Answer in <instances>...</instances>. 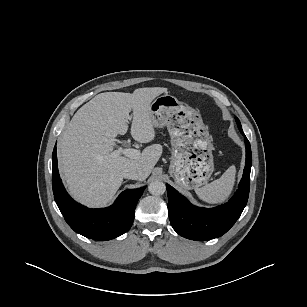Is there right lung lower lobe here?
I'll return each mask as SVG.
<instances>
[{"label":"right lung lower lobe","mask_w":307,"mask_h":307,"mask_svg":"<svg viewBox=\"0 0 307 307\" xmlns=\"http://www.w3.org/2000/svg\"><path fill=\"white\" fill-rule=\"evenodd\" d=\"M52 185L55 202L68 225L76 232L94 240H111L128 231L134 220L136 204L145 187L125 190L107 208L89 209L75 202L66 192L57 167L56 146L52 155Z\"/></svg>","instance_id":"obj_1"}]
</instances>
